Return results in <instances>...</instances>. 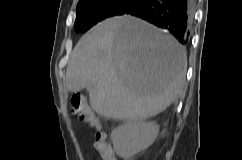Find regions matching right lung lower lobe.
I'll return each mask as SVG.
<instances>
[{
    "mask_svg": "<svg viewBox=\"0 0 242 160\" xmlns=\"http://www.w3.org/2000/svg\"><path fill=\"white\" fill-rule=\"evenodd\" d=\"M194 0H142L125 14L142 18L187 44L193 22Z\"/></svg>",
    "mask_w": 242,
    "mask_h": 160,
    "instance_id": "right-lung-lower-lobe-1",
    "label": "right lung lower lobe"
}]
</instances>
